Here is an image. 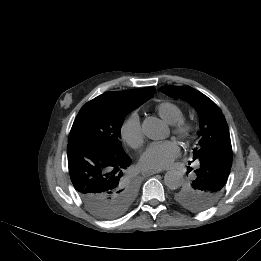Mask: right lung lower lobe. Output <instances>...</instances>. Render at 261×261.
I'll list each match as a JSON object with an SVG mask.
<instances>
[{
    "mask_svg": "<svg viewBox=\"0 0 261 261\" xmlns=\"http://www.w3.org/2000/svg\"><path fill=\"white\" fill-rule=\"evenodd\" d=\"M67 152L71 181L84 201L102 188L116 185L131 164L126 154L104 152L86 140L68 142Z\"/></svg>",
    "mask_w": 261,
    "mask_h": 261,
    "instance_id": "1",
    "label": "right lung lower lobe"
}]
</instances>
